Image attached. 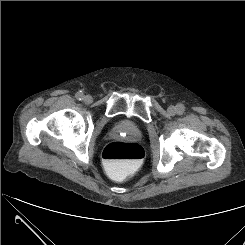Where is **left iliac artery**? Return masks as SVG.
Listing matches in <instances>:
<instances>
[{"label":"left iliac artery","instance_id":"obj_1","mask_svg":"<svg viewBox=\"0 0 245 245\" xmlns=\"http://www.w3.org/2000/svg\"><path fill=\"white\" fill-rule=\"evenodd\" d=\"M184 109H185V107H184L183 104H178L177 105V111H178L179 114H182Z\"/></svg>","mask_w":245,"mask_h":245}]
</instances>
